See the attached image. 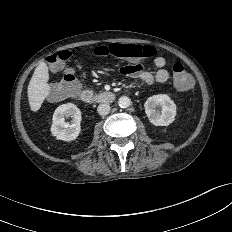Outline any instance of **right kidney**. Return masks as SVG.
I'll use <instances>...</instances> for the list:
<instances>
[{
    "label": "right kidney",
    "mask_w": 232,
    "mask_h": 232,
    "mask_svg": "<svg viewBox=\"0 0 232 232\" xmlns=\"http://www.w3.org/2000/svg\"><path fill=\"white\" fill-rule=\"evenodd\" d=\"M72 118L71 123L65 122V118ZM52 134L59 140L71 141L78 137L81 132V112L72 104L60 105L53 114Z\"/></svg>",
    "instance_id": "ca27d5eb"
}]
</instances>
